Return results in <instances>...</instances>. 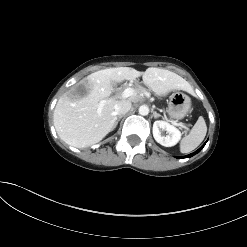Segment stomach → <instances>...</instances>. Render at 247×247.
I'll return each mask as SVG.
<instances>
[{"label":"stomach","mask_w":247,"mask_h":247,"mask_svg":"<svg viewBox=\"0 0 247 247\" xmlns=\"http://www.w3.org/2000/svg\"><path fill=\"white\" fill-rule=\"evenodd\" d=\"M191 109V99L188 95L175 91L168 102V115L176 120L184 118Z\"/></svg>","instance_id":"obj_1"}]
</instances>
